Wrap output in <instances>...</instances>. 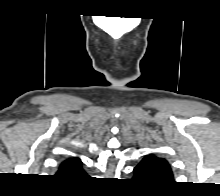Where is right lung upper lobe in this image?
Segmentation results:
<instances>
[{
    "label": "right lung upper lobe",
    "mask_w": 220,
    "mask_h": 196,
    "mask_svg": "<svg viewBox=\"0 0 220 196\" xmlns=\"http://www.w3.org/2000/svg\"><path fill=\"white\" fill-rule=\"evenodd\" d=\"M86 173L82 168V162L79 158H69L61 163L57 172L58 177L66 179H80Z\"/></svg>",
    "instance_id": "1"
}]
</instances>
